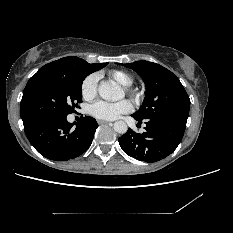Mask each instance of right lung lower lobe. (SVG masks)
<instances>
[{
  "label": "right lung lower lobe",
  "instance_id": "1",
  "mask_svg": "<svg viewBox=\"0 0 233 233\" xmlns=\"http://www.w3.org/2000/svg\"><path fill=\"white\" fill-rule=\"evenodd\" d=\"M66 117L51 116L24 126L30 143L48 159L66 161L76 158L92 143L98 127L96 120L82 116L79 122L69 123Z\"/></svg>",
  "mask_w": 233,
  "mask_h": 233
}]
</instances>
